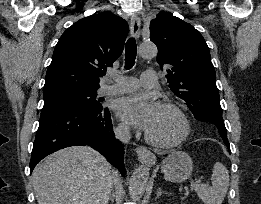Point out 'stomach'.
<instances>
[{"label":"stomach","instance_id":"stomach-1","mask_svg":"<svg viewBox=\"0 0 261 204\" xmlns=\"http://www.w3.org/2000/svg\"><path fill=\"white\" fill-rule=\"evenodd\" d=\"M193 162L191 157L183 151L171 153L163 162L161 170L164 178L171 182H183L192 173Z\"/></svg>","mask_w":261,"mask_h":204}]
</instances>
